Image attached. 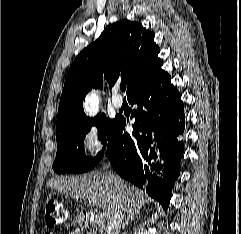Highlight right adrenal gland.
<instances>
[{"label":"right adrenal gland","mask_w":241,"mask_h":234,"mask_svg":"<svg viewBox=\"0 0 241 234\" xmlns=\"http://www.w3.org/2000/svg\"><path fill=\"white\" fill-rule=\"evenodd\" d=\"M137 215H140V211L129 213L127 218L125 219V222L122 225V230L126 229V227H128V225H129L130 221H133L134 217Z\"/></svg>","instance_id":"1"}]
</instances>
